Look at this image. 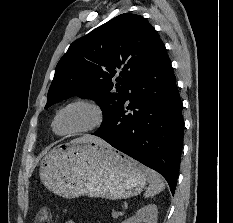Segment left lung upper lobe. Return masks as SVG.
Instances as JSON below:
<instances>
[{"instance_id":"obj_1","label":"left lung upper lobe","mask_w":233,"mask_h":223,"mask_svg":"<svg viewBox=\"0 0 233 223\" xmlns=\"http://www.w3.org/2000/svg\"><path fill=\"white\" fill-rule=\"evenodd\" d=\"M159 41L140 15L115 17L70 45L56 66L45 108L75 95L93 98L103 111L102 128L126 103Z\"/></svg>"}]
</instances>
